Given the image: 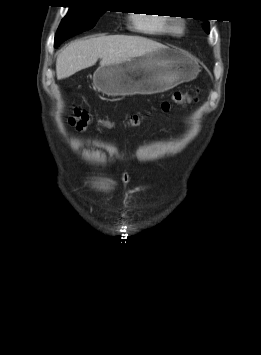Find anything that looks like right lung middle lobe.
Returning <instances> with one entry per match:
<instances>
[{
    "mask_svg": "<svg viewBox=\"0 0 261 355\" xmlns=\"http://www.w3.org/2000/svg\"><path fill=\"white\" fill-rule=\"evenodd\" d=\"M67 15L62 20L55 41L68 39L81 32L93 28L99 17L104 13L101 9L86 8L82 6L69 7Z\"/></svg>",
    "mask_w": 261,
    "mask_h": 355,
    "instance_id": "right-lung-middle-lobe-1",
    "label": "right lung middle lobe"
}]
</instances>
